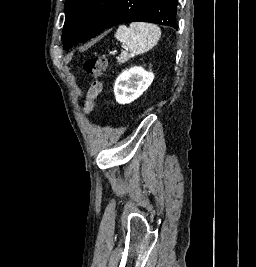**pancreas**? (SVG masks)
I'll return each mask as SVG.
<instances>
[{"label": "pancreas", "mask_w": 256, "mask_h": 267, "mask_svg": "<svg viewBox=\"0 0 256 267\" xmlns=\"http://www.w3.org/2000/svg\"><path fill=\"white\" fill-rule=\"evenodd\" d=\"M130 56H128V54H126V52H122L121 56H119V58H117V62L118 64H125V62H127V60H129Z\"/></svg>", "instance_id": "cf45deb5"}]
</instances>
